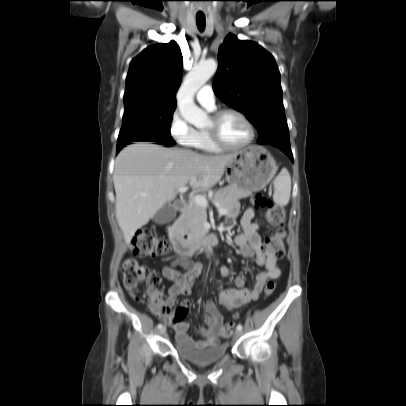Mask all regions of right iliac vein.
<instances>
[{
	"instance_id": "1",
	"label": "right iliac vein",
	"mask_w": 406,
	"mask_h": 406,
	"mask_svg": "<svg viewBox=\"0 0 406 406\" xmlns=\"http://www.w3.org/2000/svg\"><path fill=\"white\" fill-rule=\"evenodd\" d=\"M159 333H160L161 335H164V334L166 333V327L163 326V327L159 330Z\"/></svg>"
}]
</instances>
